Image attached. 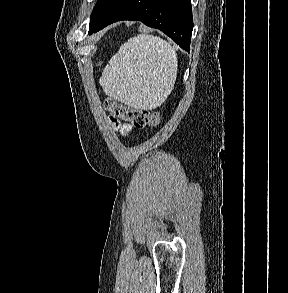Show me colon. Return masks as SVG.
<instances>
[{
  "instance_id": "colon-1",
  "label": "colon",
  "mask_w": 288,
  "mask_h": 293,
  "mask_svg": "<svg viewBox=\"0 0 288 293\" xmlns=\"http://www.w3.org/2000/svg\"><path fill=\"white\" fill-rule=\"evenodd\" d=\"M105 107L111 113L112 118L127 121L137 129L156 126L161 121L159 112L131 108L112 98L105 100Z\"/></svg>"
}]
</instances>
